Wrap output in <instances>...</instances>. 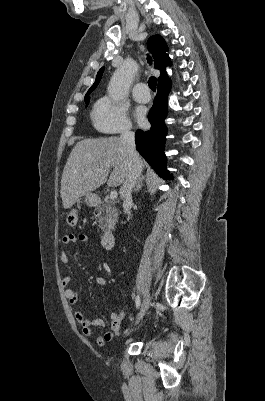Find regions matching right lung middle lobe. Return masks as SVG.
Returning a JSON list of instances; mask_svg holds the SVG:
<instances>
[{
  "label": "right lung middle lobe",
  "instance_id": "right-lung-middle-lobe-1",
  "mask_svg": "<svg viewBox=\"0 0 265 401\" xmlns=\"http://www.w3.org/2000/svg\"><path fill=\"white\" fill-rule=\"evenodd\" d=\"M88 102H89V99L86 100V103H88Z\"/></svg>",
  "mask_w": 265,
  "mask_h": 401
}]
</instances>
